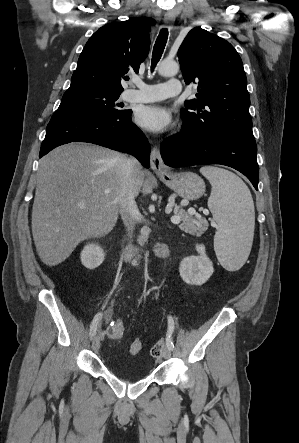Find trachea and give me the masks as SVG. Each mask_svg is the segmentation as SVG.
<instances>
[{
	"label": "trachea",
	"instance_id": "obj_1",
	"mask_svg": "<svg viewBox=\"0 0 299 443\" xmlns=\"http://www.w3.org/2000/svg\"><path fill=\"white\" fill-rule=\"evenodd\" d=\"M167 39H168V29L163 28L160 30V33L154 44L153 53H152L151 71L154 70L156 64L159 62L163 54L164 48L166 46Z\"/></svg>",
	"mask_w": 299,
	"mask_h": 443
}]
</instances>
